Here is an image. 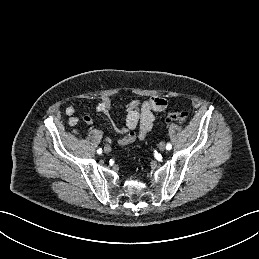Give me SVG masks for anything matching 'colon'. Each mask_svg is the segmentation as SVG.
<instances>
[{"label": "colon", "mask_w": 259, "mask_h": 259, "mask_svg": "<svg viewBox=\"0 0 259 259\" xmlns=\"http://www.w3.org/2000/svg\"><path fill=\"white\" fill-rule=\"evenodd\" d=\"M187 119V113L185 112H169L165 116L166 122L184 123Z\"/></svg>", "instance_id": "obj_1"}]
</instances>
